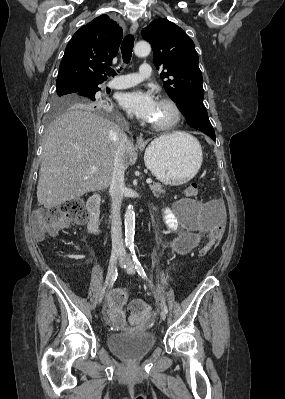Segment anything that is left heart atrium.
<instances>
[{
	"instance_id": "left-heart-atrium-1",
	"label": "left heart atrium",
	"mask_w": 285,
	"mask_h": 399,
	"mask_svg": "<svg viewBox=\"0 0 285 399\" xmlns=\"http://www.w3.org/2000/svg\"><path fill=\"white\" fill-rule=\"evenodd\" d=\"M120 105L139 119L150 122L155 117L158 102L151 92L135 89L121 95Z\"/></svg>"
}]
</instances>
